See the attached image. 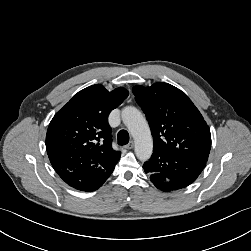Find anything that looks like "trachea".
<instances>
[{"label":"trachea","instance_id":"trachea-1","mask_svg":"<svg viewBox=\"0 0 251 251\" xmlns=\"http://www.w3.org/2000/svg\"><path fill=\"white\" fill-rule=\"evenodd\" d=\"M119 145H126L129 142V133L126 130H120L117 135Z\"/></svg>","mask_w":251,"mask_h":251}]
</instances>
